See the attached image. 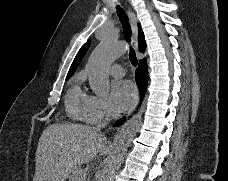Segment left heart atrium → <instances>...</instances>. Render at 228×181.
Returning <instances> with one entry per match:
<instances>
[{"label": "left heart atrium", "mask_w": 228, "mask_h": 181, "mask_svg": "<svg viewBox=\"0 0 228 181\" xmlns=\"http://www.w3.org/2000/svg\"><path fill=\"white\" fill-rule=\"evenodd\" d=\"M134 94V87L130 81L124 79L115 81L111 89L112 110H123L134 97Z\"/></svg>", "instance_id": "obj_1"}]
</instances>
